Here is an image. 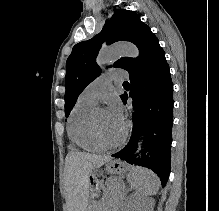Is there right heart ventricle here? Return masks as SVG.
Here are the masks:
<instances>
[{"mask_svg":"<svg viewBox=\"0 0 219 211\" xmlns=\"http://www.w3.org/2000/svg\"><path fill=\"white\" fill-rule=\"evenodd\" d=\"M95 105L78 98L68 117L67 131L70 140L87 151L105 149V146L96 140L90 129V114Z\"/></svg>","mask_w":219,"mask_h":211,"instance_id":"e07e8e85","label":"right heart ventricle"}]
</instances>
